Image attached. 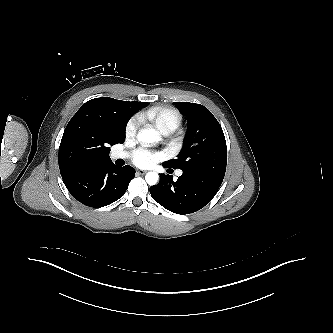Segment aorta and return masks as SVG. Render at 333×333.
Masks as SVG:
<instances>
[{
	"label": "aorta",
	"mask_w": 333,
	"mask_h": 333,
	"mask_svg": "<svg viewBox=\"0 0 333 333\" xmlns=\"http://www.w3.org/2000/svg\"><path fill=\"white\" fill-rule=\"evenodd\" d=\"M137 139L141 143L151 144L160 140V134L155 129H142L138 132ZM145 180L148 185H155L159 180V175L156 172H148L145 176Z\"/></svg>",
	"instance_id": "1"
}]
</instances>
